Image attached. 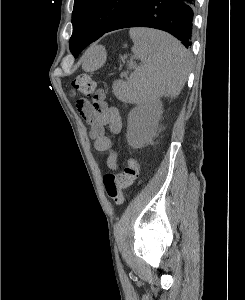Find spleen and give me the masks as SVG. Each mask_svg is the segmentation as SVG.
Here are the masks:
<instances>
[{
    "instance_id": "3e777b00",
    "label": "spleen",
    "mask_w": 245,
    "mask_h": 300,
    "mask_svg": "<svg viewBox=\"0 0 245 300\" xmlns=\"http://www.w3.org/2000/svg\"><path fill=\"white\" fill-rule=\"evenodd\" d=\"M134 46L132 52L142 61L127 82L113 83L115 96L126 103L153 104L162 96L176 97L182 90L190 60L187 50L171 35L147 28L129 31ZM103 53V52H102ZM103 55L83 66L93 71L101 66Z\"/></svg>"
}]
</instances>
